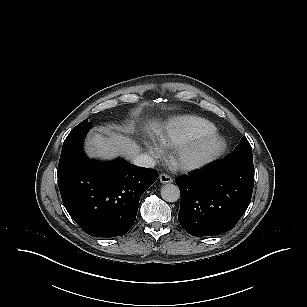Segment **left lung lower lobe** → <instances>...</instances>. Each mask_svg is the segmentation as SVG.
Listing matches in <instances>:
<instances>
[{
	"mask_svg": "<svg viewBox=\"0 0 307 307\" xmlns=\"http://www.w3.org/2000/svg\"><path fill=\"white\" fill-rule=\"evenodd\" d=\"M181 193L178 220L193 236L231 230L248 208L254 166L217 161L203 171L176 179Z\"/></svg>",
	"mask_w": 307,
	"mask_h": 307,
	"instance_id": "0a47b994",
	"label": "left lung lower lobe"
}]
</instances>
